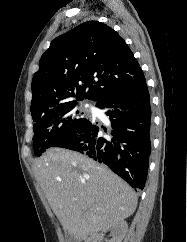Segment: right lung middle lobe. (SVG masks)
I'll return each instance as SVG.
<instances>
[{"instance_id":"right-lung-middle-lobe-1","label":"right lung middle lobe","mask_w":187,"mask_h":242,"mask_svg":"<svg viewBox=\"0 0 187 242\" xmlns=\"http://www.w3.org/2000/svg\"><path fill=\"white\" fill-rule=\"evenodd\" d=\"M71 102L32 117L34 121L33 148L40 156L48 148L75 132L86 120Z\"/></svg>"}]
</instances>
